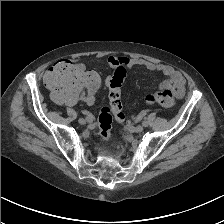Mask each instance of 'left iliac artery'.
Here are the masks:
<instances>
[{
  "label": "left iliac artery",
  "mask_w": 224,
  "mask_h": 224,
  "mask_svg": "<svg viewBox=\"0 0 224 224\" xmlns=\"http://www.w3.org/2000/svg\"><path fill=\"white\" fill-rule=\"evenodd\" d=\"M142 125H143L144 127H147V126H148V122H147V121H143V122H142Z\"/></svg>",
  "instance_id": "obj_1"
}]
</instances>
